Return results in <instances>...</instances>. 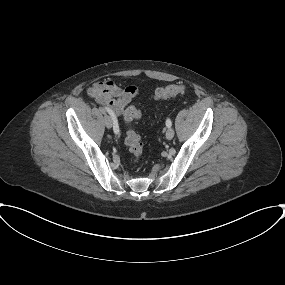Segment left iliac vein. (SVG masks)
I'll return each instance as SVG.
<instances>
[{"label":"left iliac vein","mask_w":285,"mask_h":285,"mask_svg":"<svg viewBox=\"0 0 285 285\" xmlns=\"http://www.w3.org/2000/svg\"><path fill=\"white\" fill-rule=\"evenodd\" d=\"M174 137V129L169 127L167 132H166V138L168 140H171Z\"/></svg>","instance_id":"obj_1"}]
</instances>
